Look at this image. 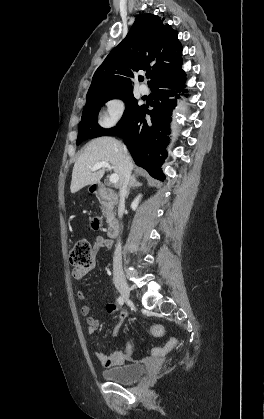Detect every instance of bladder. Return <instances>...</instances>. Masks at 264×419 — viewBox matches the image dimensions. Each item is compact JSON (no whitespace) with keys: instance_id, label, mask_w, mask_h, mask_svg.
Here are the masks:
<instances>
[{"instance_id":"bladder-1","label":"bladder","mask_w":264,"mask_h":419,"mask_svg":"<svg viewBox=\"0 0 264 419\" xmlns=\"http://www.w3.org/2000/svg\"><path fill=\"white\" fill-rule=\"evenodd\" d=\"M145 373V366L141 363L132 362L112 367L102 371L105 380L121 384H129L140 379Z\"/></svg>"}]
</instances>
